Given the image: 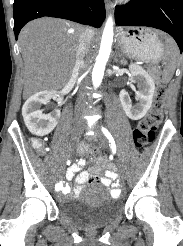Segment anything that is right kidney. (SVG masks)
Returning a JSON list of instances; mask_svg holds the SVG:
<instances>
[{"mask_svg": "<svg viewBox=\"0 0 183 246\" xmlns=\"http://www.w3.org/2000/svg\"><path fill=\"white\" fill-rule=\"evenodd\" d=\"M61 104L63 97L56 90L41 91L30 96L22 108V115L28 130L36 136H45L56 127L60 118V110L44 114L40 109L42 104H48L51 99Z\"/></svg>", "mask_w": 183, "mask_h": 246, "instance_id": "obj_1", "label": "right kidney"}]
</instances>
